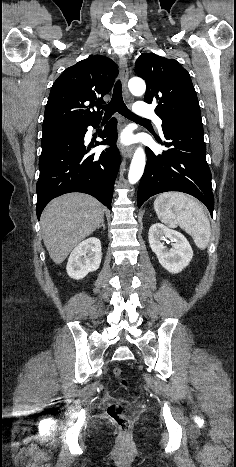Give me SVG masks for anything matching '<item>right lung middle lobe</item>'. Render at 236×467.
I'll return each mask as SVG.
<instances>
[{"label":"right lung middle lobe","mask_w":236,"mask_h":467,"mask_svg":"<svg viewBox=\"0 0 236 467\" xmlns=\"http://www.w3.org/2000/svg\"><path fill=\"white\" fill-rule=\"evenodd\" d=\"M75 130H79V129H70V130H59V131L43 132L42 139H46V138L58 136V135L65 134V133H69V132H72V131H75Z\"/></svg>","instance_id":"right-lung-middle-lobe-1"}]
</instances>
